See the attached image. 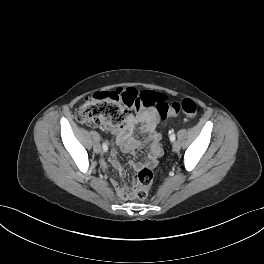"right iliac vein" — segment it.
Here are the masks:
<instances>
[{
	"instance_id": "right-iliac-vein-1",
	"label": "right iliac vein",
	"mask_w": 264,
	"mask_h": 264,
	"mask_svg": "<svg viewBox=\"0 0 264 264\" xmlns=\"http://www.w3.org/2000/svg\"><path fill=\"white\" fill-rule=\"evenodd\" d=\"M94 151L96 152V153H100L101 152V146L100 145H95V147H94Z\"/></svg>"
}]
</instances>
